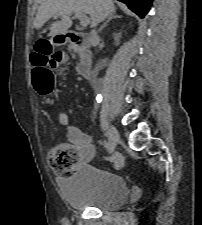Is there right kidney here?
<instances>
[{
  "instance_id": "ca27d5eb",
  "label": "right kidney",
  "mask_w": 202,
  "mask_h": 225,
  "mask_svg": "<svg viewBox=\"0 0 202 225\" xmlns=\"http://www.w3.org/2000/svg\"><path fill=\"white\" fill-rule=\"evenodd\" d=\"M121 37V33L114 34L115 44L119 45V38Z\"/></svg>"
}]
</instances>
